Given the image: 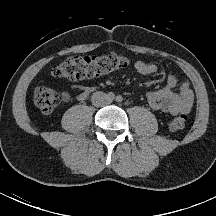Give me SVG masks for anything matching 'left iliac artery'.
Masks as SVG:
<instances>
[{
    "label": "left iliac artery",
    "mask_w": 216,
    "mask_h": 216,
    "mask_svg": "<svg viewBox=\"0 0 216 216\" xmlns=\"http://www.w3.org/2000/svg\"><path fill=\"white\" fill-rule=\"evenodd\" d=\"M122 100H123L122 96L118 95V96L116 97V101H117V102H121Z\"/></svg>",
    "instance_id": "left-iliac-artery-1"
}]
</instances>
